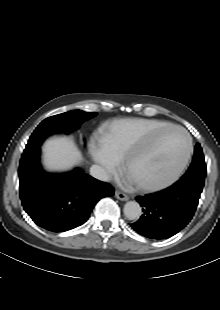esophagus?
<instances>
[{"label":"esophagus","instance_id":"1","mask_svg":"<svg viewBox=\"0 0 220 310\" xmlns=\"http://www.w3.org/2000/svg\"><path fill=\"white\" fill-rule=\"evenodd\" d=\"M115 197L121 201H127L129 199L128 195L119 191L115 192Z\"/></svg>","mask_w":220,"mask_h":310}]
</instances>
